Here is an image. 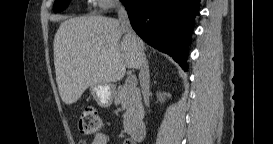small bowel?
<instances>
[{
  "label": "small bowel",
  "instance_id": "small-bowel-1",
  "mask_svg": "<svg viewBox=\"0 0 273 144\" xmlns=\"http://www.w3.org/2000/svg\"><path fill=\"white\" fill-rule=\"evenodd\" d=\"M110 143V138L103 133H99L94 137V140L92 144H109ZM129 143V142H127ZM79 144H87L85 140H80Z\"/></svg>",
  "mask_w": 273,
  "mask_h": 144
}]
</instances>
